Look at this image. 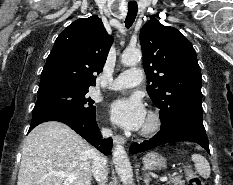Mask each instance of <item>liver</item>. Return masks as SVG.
<instances>
[{
	"label": "liver",
	"instance_id": "liver-1",
	"mask_svg": "<svg viewBox=\"0 0 233 185\" xmlns=\"http://www.w3.org/2000/svg\"><path fill=\"white\" fill-rule=\"evenodd\" d=\"M100 153L67 125L50 121L35 127L26 137L17 185H91L92 162Z\"/></svg>",
	"mask_w": 233,
	"mask_h": 185
}]
</instances>
